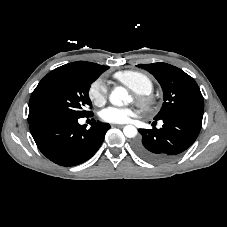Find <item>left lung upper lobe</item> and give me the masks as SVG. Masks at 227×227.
I'll return each instance as SVG.
<instances>
[{
	"label": "left lung upper lobe",
	"instance_id": "obj_1",
	"mask_svg": "<svg viewBox=\"0 0 227 227\" xmlns=\"http://www.w3.org/2000/svg\"><path fill=\"white\" fill-rule=\"evenodd\" d=\"M160 83L164 102L154 119L176 114L203 116L204 100L195 80L181 69L166 63L139 64Z\"/></svg>",
	"mask_w": 227,
	"mask_h": 227
}]
</instances>
